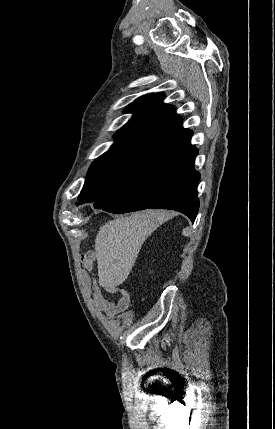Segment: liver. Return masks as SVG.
I'll return each instance as SVG.
<instances>
[{"label": "liver", "instance_id": "6515ba94", "mask_svg": "<svg viewBox=\"0 0 275 429\" xmlns=\"http://www.w3.org/2000/svg\"><path fill=\"white\" fill-rule=\"evenodd\" d=\"M172 215L144 210L102 225L95 239L99 284L109 292L128 277L146 238Z\"/></svg>", "mask_w": 275, "mask_h": 429}]
</instances>
